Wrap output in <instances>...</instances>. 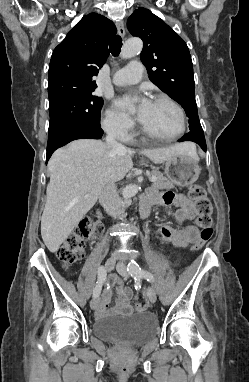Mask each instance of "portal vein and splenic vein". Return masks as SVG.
Here are the masks:
<instances>
[{
    "instance_id": "1",
    "label": "portal vein and splenic vein",
    "mask_w": 249,
    "mask_h": 382,
    "mask_svg": "<svg viewBox=\"0 0 249 382\" xmlns=\"http://www.w3.org/2000/svg\"><path fill=\"white\" fill-rule=\"evenodd\" d=\"M149 180H150L151 182H154V181H156V177H151Z\"/></svg>"
}]
</instances>
